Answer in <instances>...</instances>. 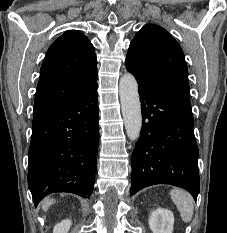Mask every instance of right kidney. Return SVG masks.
I'll use <instances>...</instances> for the list:
<instances>
[{
    "instance_id": "1",
    "label": "right kidney",
    "mask_w": 227,
    "mask_h": 233,
    "mask_svg": "<svg viewBox=\"0 0 227 233\" xmlns=\"http://www.w3.org/2000/svg\"><path fill=\"white\" fill-rule=\"evenodd\" d=\"M72 223L69 219L63 220L56 224L53 228V233H68Z\"/></svg>"
}]
</instances>
